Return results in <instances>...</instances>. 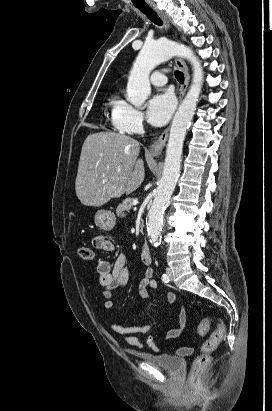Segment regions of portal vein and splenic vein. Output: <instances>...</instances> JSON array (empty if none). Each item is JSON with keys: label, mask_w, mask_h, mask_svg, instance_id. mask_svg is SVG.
<instances>
[{"label": "portal vein and splenic vein", "mask_w": 272, "mask_h": 411, "mask_svg": "<svg viewBox=\"0 0 272 411\" xmlns=\"http://www.w3.org/2000/svg\"><path fill=\"white\" fill-rule=\"evenodd\" d=\"M106 182V180H103V183H105ZM134 206H136L137 204H138V200L137 199H135V200H133V203H132Z\"/></svg>", "instance_id": "obj_1"}]
</instances>
